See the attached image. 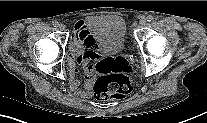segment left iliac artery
Listing matches in <instances>:
<instances>
[{
	"label": "left iliac artery",
	"mask_w": 207,
	"mask_h": 123,
	"mask_svg": "<svg viewBox=\"0 0 207 123\" xmlns=\"http://www.w3.org/2000/svg\"><path fill=\"white\" fill-rule=\"evenodd\" d=\"M153 19H154V17H153L152 15L147 16V21H148V22L153 21Z\"/></svg>",
	"instance_id": "obj_1"
}]
</instances>
